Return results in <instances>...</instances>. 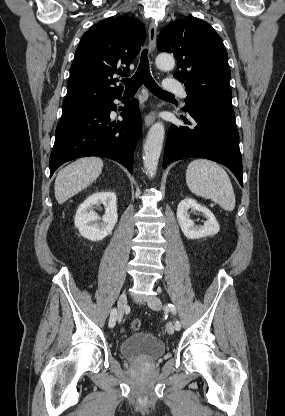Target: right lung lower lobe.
Here are the masks:
<instances>
[{"mask_svg":"<svg viewBox=\"0 0 285 416\" xmlns=\"http://www.w3.org/2000/svg\"><path fill=\"white\" fill-rule=\"evenodd\" d=\"M112 110H116L113 101L62 113L50 155V177L63 163L87 156L115 160L132 174L134 150L142 129L138 103L130 101L122 113L123 121L116 125L110 121Z\"/></svg>","mask_w":285,"mask_h":416,"instance_id":"1","label":"right lung lower lobe"}]
</instances>
